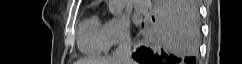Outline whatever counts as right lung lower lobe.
I'll return each mask as SVG.
<instances>
[{"mask_svg": "<svg viewBox=\"0 0 242 64\" xmlns=\"http://www.w3.org/2000/svg\"><path fill=\"white\" fill-rule=\"evenodd\" d=\"M159 44L140 47L132 57L142 64H194L199 42L196 0H156Z\"/></svg>", "mask_w": 242, "mask_h": 64, "instance_id": "right-lung-lower-lobe-1", "label": "right lung lower lobe"}]
</instances>
